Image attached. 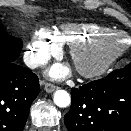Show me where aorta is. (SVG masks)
Instances as JSON below:
<instances>
[{
    "label": "aorta",
    "instance_id": "762f6f07",
    "mask_svg": "<svg viewBox=\"0 0 131 131\" xmlns=\"http://www.w3.org/2000/svg\"><path fill=\"white\" fill-rule=\"evenodd\" d=\"M53 100H54V103L58 107H62V108L67 107L70 104V102H71L70 95L65 90H57V91H55Z\"/></svg>",
    "mask_w": 131,
    "mask_h": 131
}]
</instances>
